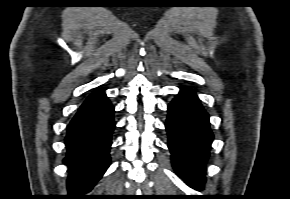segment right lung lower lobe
Wrapping results in <instances>:
<instances>
[{
  "label": "right lung lower lobe",
  "instance_id": "obj_1",
  "mask_svg": "<svg viewBox=\"0 0 290 199\" xmlns=\"http://www.w3.org/2000/svg\"><path fill=\"white\" fill-rule=\"evenodd\" d=\"M114 108L103 91L89 95L67 127L65 144L69 167V197L84 196L92 189L110 165L111 134L114 130Z\"/></svg>",
  "mask_w": 290,
  "mask_h": 199
}]
</instances>
